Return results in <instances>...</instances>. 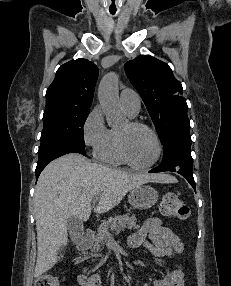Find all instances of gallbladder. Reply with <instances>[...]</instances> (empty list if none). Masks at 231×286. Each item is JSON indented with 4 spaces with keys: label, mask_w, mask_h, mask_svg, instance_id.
<instances>
[{
    "label": "gallbladder",
    "mask_w": 231,
    "mask_h": 286,
    "mask_svg": "<svg viewBox=\"0 0 231 286\" xmlns=\"http://www.w3.org/2000/svg\"><path fill=\"white\" fill-rule=\"evenodd\" d=\"M67 228L70 230L69 234H82V218L80 216H73L68 219ZM65 256H58L57 258H64Z\"/></svg>",
    "instance_id": "1"
}]
</instances>
